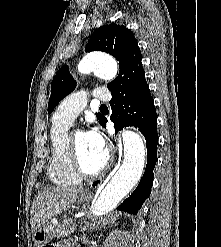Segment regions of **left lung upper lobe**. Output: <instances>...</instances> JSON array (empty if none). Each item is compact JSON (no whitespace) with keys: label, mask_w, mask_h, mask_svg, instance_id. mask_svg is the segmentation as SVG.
Wrapping results in <instances>:
<instances>
[{"label":"left lung upper lobe","mask_w":221,"mask_h":247,"mask_svg":"<svg viewBox=\"0 0 221 247\" xmlns=\"http://www.w3.org/2000/svg\"><path fill=\"white\" fill-rule=\"evenodd\" d=\"M95 50L107 52L119 61L118 77L107 85L112 96L128 98L149 90L141 64V52L130 29L115 23L100 27L85 47L86 52ZM75 87L76 81L71 76L68 66L60 68L51 84L48 113H51ZM96 116L102 124L105 117L100 113Z\"/></svg>","instance_id":"left-lung-upper-lobe-1"}]
</instances>
